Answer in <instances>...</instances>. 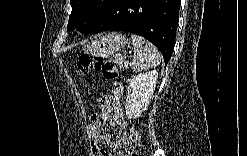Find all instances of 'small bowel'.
I'll return each mask as SVG.
<instances>
[{"label": "small bowel", "mask_w": 247, "mask_h": 156, "mask_svg": "<svg viewBox=\"0 0 247 156\" xmlns=\"http://www.w3.org/2000/svg\"><path fill=\"white\" fill-rule=\"evenodd\" d=\"M122 97L123 88L120 84L115 83L112 86V95L102 97L98 101L100 112L91 116L87 128L94 155H112V148L115 149L116 155L128 154L131 136L121 107ZM105 126L118 127L120 130L117 144L111 145L110 148L106 147L110 143V135L103 132Z\"/></svg>", "instance_id": "obj_1"}]
</instances>
